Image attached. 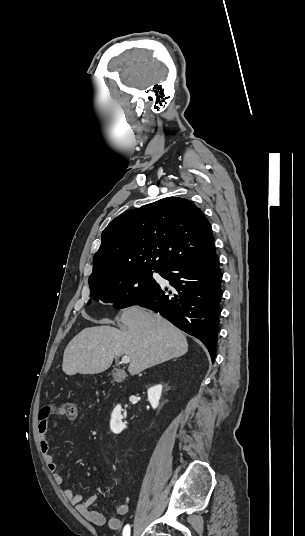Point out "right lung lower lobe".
Wrapping results in <instances>:
<instances>
[{"label": "right lung lower lobe", "instance_id": "right-lung-lower-lobe-1", "mask_svg": "<svg viewBox=\"0 0 305 536\" xmlns=\"http://www.w3.org/2000/svg\"><path fill=\"white\" fill-rule=\"evenodd\" d=\"M161 276L176 292L166 295L158 284L137 304L160 312L175 326L200 339L214 362L222 296V273L215 245L197 256L171 265L163 270Z\"/></svg>", "mask_w": 305, "mask_h": 536}]
</instances>
